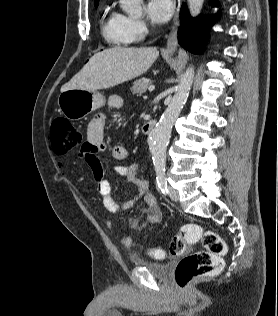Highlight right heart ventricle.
I'll use <instances>...</instances> for the list:
<instances>
[{
  "instance_id": "e07e8e85",
  "label": "right heart ventricle",
  "mask_w": 278,
  "mask_h": 316,
  "mask_svg": "<svg viewBox=\"0 0 278 316\" xmlns=\"http://www.w3.org/2000/svg\"><path fill=\"white\" fill-rule=\"evenodd\" d=\"M101 32L103 38L111 45L122 46L131 42L125 33L119 13L105 6L101 17Z\"/></svg>"
}]
</instances>
